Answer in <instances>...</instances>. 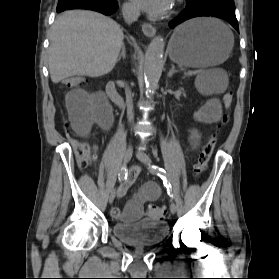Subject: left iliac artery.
Instances as JSON below:
<instances>
[{"mask_svg": "<svg viewBox=\"0 0 279 279\" xmlns=\"http://www.w3.org/2000/svg\"><path fill=\"white\" fill-rule=\"evenodd\" d=\"M148 165H149V169H150L151 173L158 175L163 180V184L167 188V192H168L169 196L171 198H173L172 187H171V184L168 182V177H167V173H166L165 169L160 168L155 165H151V163Z\"/></svg>", "mask_w": 279, "mask_h": 279, "instance_id": "left-iliac-artery-1", "label": "left iliac artery"}]
</instances>
